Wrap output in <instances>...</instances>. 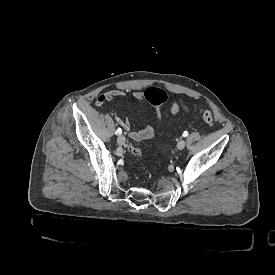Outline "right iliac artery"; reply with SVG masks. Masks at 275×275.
Instances as JSON below:
<instances>
[{
	"label": "right iliac artery",
	"instance_id": "1",
	"mask_svg": "<svg viewBox=\"0 0 275 275\" xmlns=\"http://www.w3.org/2000/svg\"><path fill=\"white\" fill-rule=\"evenodd\" d=\"M121 133H122L121 128H118L117 131H116V134H117V135H120Z\"/></svg>",
	"mask_w": 275,
	"mask_h": 275
}]
</instances>
